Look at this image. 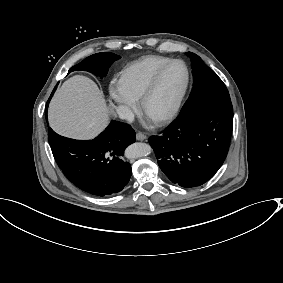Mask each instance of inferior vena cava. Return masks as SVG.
Masks as SVG:
<instances>
[{
	"instance_id": "obj_1",
	"label": "inferior vena cava",
	"mask_w": 283,
	"mask_h": 283,
	"mask_svg": "<svg viewBox=\"0 0 283 283\" xmlns=\"http://www.w3.org/2000/svg\"><path fill=\"white\" fill-rule=\"evenodd\" d=\"M117 113L121 119L128 120L129 122H132L134 119L132 110L126 105L118 106Z\"/></svg>"
}]
</instances>
